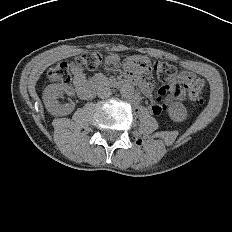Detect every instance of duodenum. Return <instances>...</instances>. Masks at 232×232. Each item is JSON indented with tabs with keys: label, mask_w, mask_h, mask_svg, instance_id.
<instances>
[{
	"label": "duodenum",
	"mask_w": 232,
	"mask_h": 232,
	"mask_svg": "<svg viewBox=\"0 0 232 232\" xmlns=\"http://www.w3.org/2000/svg\"><path fill=\"white\" fill-rule=\"evenodd\" d=\"M116 86H124V85H133V86H140L143 90H146L147 83L143 81H139L137 78L129 77L125 80L119 81L114 83ZM78 94L84 98L89 99L91 98L95 93V86L92 83L85 82L84 84L80 85L77 88Z\"/></svg>",
	"instance_id": "obj_1"
}]
</instances>
